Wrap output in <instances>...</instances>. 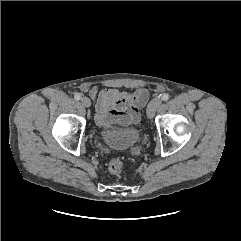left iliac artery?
Here are the masks:
<instances>
[{"label":"left iliac artery","instance_id":"obj_1","mask_svg":"<svg viewBox=\"0 0 241 241\" xmlns=\"http://www.w3.org/2000/svg\"><path fill=\"white\" fill-rule=\"evenodd\" d=\"M161 96V99L163 100V101H167L168 99H169V94H167V93H164V94H162V95H160Z\"/></svg>","mask_w":241,"mask_h":241}]
</instances>
